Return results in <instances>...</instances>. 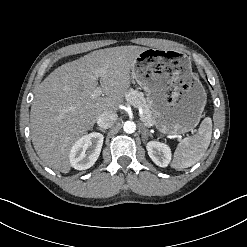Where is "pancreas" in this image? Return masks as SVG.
<instances>
[{"label":"pancreas","instance_id":"1","mask_svg":"<svg viewBox=\"0 0 247 247\" xmlns=\"http://www.w3.org/2000/svg\"><path fill=\"white\" fill-rule=\"evenodd\" d=\"M125 98L128 104L143 110L141 120L145 125L152 126L154 124L152 112L142 92L131 89L126 93Z\"/></svg>","mask_w":247,"mask_h":247}]
</instances>
